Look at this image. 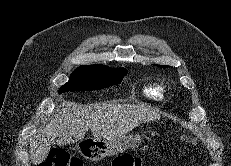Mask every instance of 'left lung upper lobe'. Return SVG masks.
<instances>
[{
	"label": "left lung upper lobe",
	"instance_id": "5c2ea615",
	"mask_svg": "<svg viewBox=\"0 0 231 166\" xmlns=\"http://www.w3.org/2000/svg\"><path fill=\"white\" fill-rule=\"evenodd\" d=\"M155 65H157V64H155ZM157 66H159V67H168V66H166V65H165V66L157 65Z\"/></svg>",
	"mask_w": 231,
	"mask_h": 166
}]
</instances>
